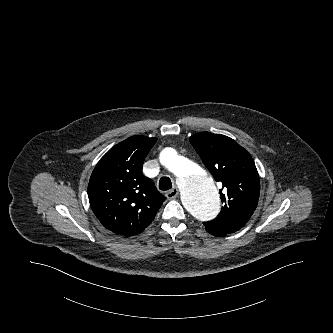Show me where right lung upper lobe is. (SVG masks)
<instances>
[{
  "mask_svg": "<svg viewBox=\"0 0 333 333\" xmlns=\"http://www.w3.org/2000/svg\"><path fill=\"white\" fill-rule=\"evenodd\" d=\"M156 141L146 136L129 137L111 148L92 172L88 184L90 206L114 233H141L166 199L142 173L144 159Z\"/></svg>",
  "mask_w": 333,
  "mask_h": 333,
  "instance_id": "cb5924a9",
  "label": "right lung upper lobe"
}]
</instances>
